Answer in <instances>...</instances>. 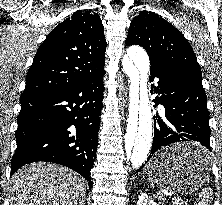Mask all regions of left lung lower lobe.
I'll list each match as a JSON object with an SVG mask.
<instances>
[{
	"instance_id": "obj_1",
	"label": "left lung lower lobe",
	"mask_w": 222,
	"mask_h": 205,
	"mask_svg": "<svg viewBox=\"0 0 222 205\" xmlns=\"http://www.w3.org/2000/svg\"><path fill=\"white\" fill-rule=\"evenodd\" d=\"M150 74L151 81L159 79L152 91L158 94L153 101L165 107L166 118L158 119L157 123L154 118L153 144L146 163L161 147L180 141H194L211 151L209 111L202 78L187 69L165 63H151ZM176 162L187 166L205 164L209 157L206 149L185 151Z\"/></svg>"
}]
</instances>
